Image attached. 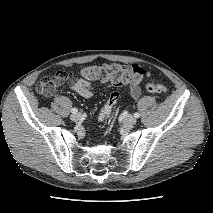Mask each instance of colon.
Masks as SVG:
<instances>
[{
	"mask_svg": "<svg viewBox=\"0 0 213 213\" xmlns=\"http://www.w3.org/2000/svg\"><path fill=\"white\" fill-rule=\"evenodd\" d=\"M80 75L87 81L109 82L116 85L136 86L149 78V73L139 64L122 65L117 63L91 65L83 68ZM75 77L66 71H58L52 77H45L39 85V90L43 91L50 83L72 82ZM148 91L152 93H162L167 91L163 84L148 83ZM119 100V93L112 92L100 114L102 120H108L115 105Z\"/></svg>",
	"mask_w": 213,
	"mask_h": 213,
	"instance_id": "obj_1",
	"label": "colon"
}]
</instances>
